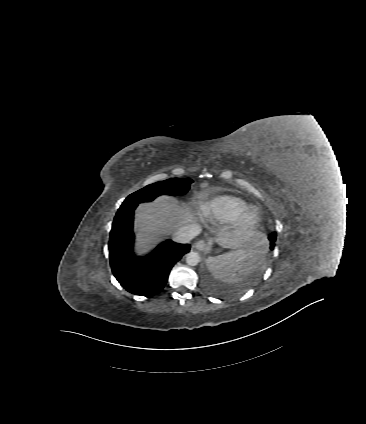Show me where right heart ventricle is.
<instances>
[{"mask_svg":"<svg viewBox=\"0 0 366 424\" xmlns=\"http://www.w3.org/2000/svg\"><path fill=\"white\" fill-rule=\"evenodd\" d=\"M246 207V201L240 197L221 195L204 204L202 213L208 219L220 224H228L235 221Z\"/></svg>","mask_w":366,"mask_h":424,"instance_id":"right-heart-ventricle-1","label":"right heart ventricle"}]
</instances>
